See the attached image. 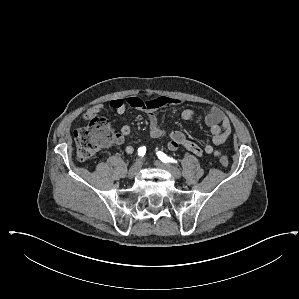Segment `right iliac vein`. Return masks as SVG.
<instances>
[{
  "label": "right iliac vein",
  "mask_w": 299,
  "mask_h": 299,
  "mask_svg": "<svg viewBox=\"0 0 299 299\" xmlns=\"http://www.w3.org/2000/svg\"><path fill=\"white\" fill-rule=\"evenodd\" d=\"M141 168H142V161L141 160L136 161L129 169L128 176L130 178L135 177L139 173Z\"/></svg>",
  "instance_id": "obj_1"
}]
</instances>
